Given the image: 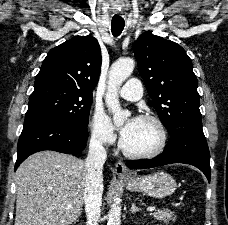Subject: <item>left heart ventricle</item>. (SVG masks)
Listing matches in <instances>:
<instances>
[{"instance_id":"obj_1","label":"left heart ventricle","mask_w":228,"mask_h":225,"mask_svg":"<svg viewBox=\"0 0 228 225\" xmlns=\"http://www.w3.org/2000/svg\"><path fill=\"white\" fill-rule=\"evenodd\" d=\"M124 140L126 145L133 150L152 151L159 146L160 133L153 123L138 120L132 136Z\"/></svg>"}]
</instances>
